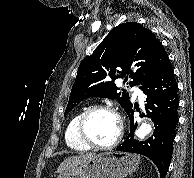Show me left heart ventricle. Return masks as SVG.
<instances>
[{
    "mask_svg": "<svg viewBox=\"0 0 194 178\" xmlns=\"http://www.w3.org/2000/svg\"><path fill=\"white\" fill-rule=\"evenodd\" d=\"M119 124L114 115L106 111H97L89 116L85 130L89 138L98 144H108L118 133Z\"/></svg>",
    "mask_w": 194,
    "mask_h": 178,
    "instance_id": "1",
    "label": "left heart ventricle"
}]
</instances>
